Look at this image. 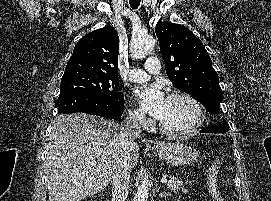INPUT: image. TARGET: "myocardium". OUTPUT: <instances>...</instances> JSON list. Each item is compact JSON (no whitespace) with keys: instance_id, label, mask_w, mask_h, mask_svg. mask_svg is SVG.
Segmentation results:
<instances>
[{"instance_id":"1","label":"myocardium","mask_w":271,"mask_h":201,"mask_svg":"<svg viewBox=\"0 0 271 201\" xmlns=\"http://www.w3.org/2000/svg\"><path fill=\"white\" fill-rule=\"evenodd\" d=\"M168 99H182L188 102L195 110L196 120L189 127L185 129H181V130L169 129L165 127L161 122H159L158 127L162 133L169 136L181 137V136H187L189 134H192L202 127V125L204 124L206 120V113H205L204 107L202 106V104L199 102L198 99H196L193 95L187 92L179 91V90H176L170 93Z\"/></svg>"}]
</instances>
